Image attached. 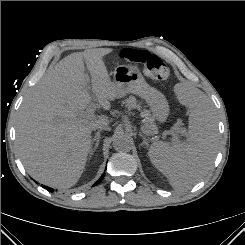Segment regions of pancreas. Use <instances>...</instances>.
I'll use <instances>...</instances> for the list:
<instances>
[{
	"label": "pancreas",
	"mask_w": 245,
	"mask_h": 245,
	"mask_svg": "<svg viewBox=\"0 0 245 245\" xmlns=\"http://www.w3.org/2000/svg\"><path fill=\"white\" fill-rule=\"evenodd\" d=\"M125 105L126 107L128 108H138L140 109V105L137 103L136 99L134 97H129V99H127L125 101ZM142 115L147 117L145 119V122H144V130L148 131L149 134H154L156 133V130H157V127L154 123V119L150 116V112L145 110L142 112Z\"/></svg>",
	"instance_id": "1"
}]
</instances>
